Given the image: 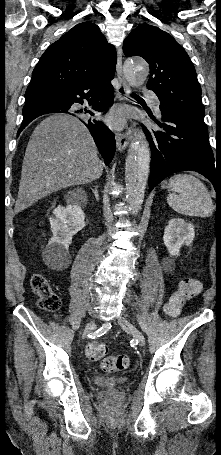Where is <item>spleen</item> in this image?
Segmentation results:
<instances>
[{
	"instance_id": "1",
	"label": "spleen",
	"mask_w": 221,
	"mask_h": 455,
	"mask_svg": "<svg viewBox=\"0 0 221 455\" xmlns=\"http://www.w3.org/2000/svg\"><path fill=\"white\" fill-rule=\"evenodd\" d=\"M172 193L167 197L170 207L186 216L208 217L213 212V202L206 186L195 176L176 174L169 180Z\"/></svg>"
}]
</instances>
